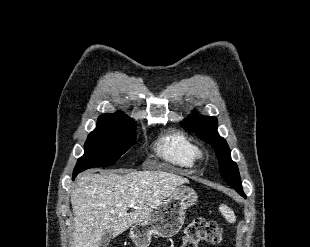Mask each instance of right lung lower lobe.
<instances>
[{"label":"right lung lower lobe","mask_w":310,"mask_h":247,"mask_svg":"<svg viewBox=\"0 0 310 247\" xmlns=\"http://www.w3.org/2000/svg\"><path fill=\"white\" fill-rule=\"evenodd\" d=\"M80 172H73V179L78 175Z\"/></svg>","instance_id":"right-lung-lower-lobe-1"}]
</instances>
